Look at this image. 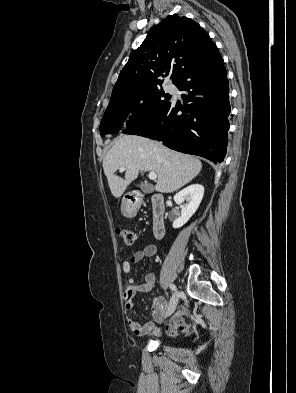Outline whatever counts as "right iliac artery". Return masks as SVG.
Masks as SVG:
<instances>
[{"mask_svg":"<svg viewBox=\"0 0 296 393\" xmlns=\"http://www.w3.org/2000/svg\"><path fill=\"white\" fill-rule=\"evenodd\" d=\"M169 287L171 290L176 291V286L174 284H170Z\"/></svg>","mask_w":296,"mask_h":393,"instance_id":"82829eb1","label":"right iliac artery"}]
</instances>
